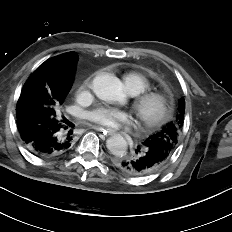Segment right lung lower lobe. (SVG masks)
Wrapping results in <instances>:
<instances>
[{"label":"right lung lower lobe","instance_id":"1","mask_svg":"<svg viewBox=\"0 0 232 232\" xmlns=\"http://www.w3.org/2000/svg\"><path fill=\"white\" fill-rule=\"evenodd\" d=\"M18 131L26 148L39 157H54L69 150L74 142L70 122L48 129L38 126L25 132V125L17 118Z\"/></svg>","mask_w":232,"mask_h":232}]
</instances>
